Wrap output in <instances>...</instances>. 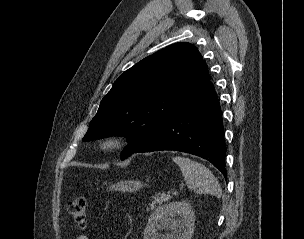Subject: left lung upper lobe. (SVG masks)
<instances>
[{"label": "left lung upper lobe", "mask_w": 304, "mask_h": 239, "mask_svg": "<svg viewBox=\"0 0 304 239\" xmlns=\"http://www.w3.org/2000/svg\"><path fill=\"white\" fill-rule=\"evenodd\" d=\"M208 67L196 47L172 44L146 57L113 84L102 99L83 141L127 137L121 158L144 145L209 82Z\"/></svg>", "instance_id": "left-lung-upper-lobe-1"}]
</instances>
